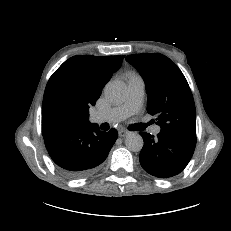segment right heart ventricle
I'll use <instances>...</instances> for the list:
<instances>
[{
    "instance_id": "e07e8e85",
    "label": "right heart ventricle",
    "mask_w": 231,
    "mask_h": 231,
    "mask_svg": "<svg viewBox=\"0 0 231 231\" xmlns=\"http://www.w3.org/2000/svg\"><path fill=\"white\" fill-rule=\"evenodd\" d=\"M136 78H140V76H138L137 74H130V76H129V80L130 79H136Z\"/></svg>"
}]
</instances>
